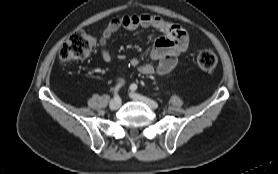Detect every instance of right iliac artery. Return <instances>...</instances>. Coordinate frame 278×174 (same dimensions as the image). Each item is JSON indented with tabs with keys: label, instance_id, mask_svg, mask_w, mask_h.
I'll return each mask as SVG.
<instances>
[{
	"label": "right iliac artery",
	"instance_id": "obj_1",
	"mask_svg": "<svg viewBox=\"0 0 278 174\" xmlns=\"http://www.w3.org/2000/svg\"><path fill=\"white\" fill-rule=\"evenodd\" d=\"M118 89H119V86H117L115 89H114V99L115 100H120L119 96H118Z\"/></svg>",
	"mask_w": 278,
	"mask_h": 174
}]
</instances>
